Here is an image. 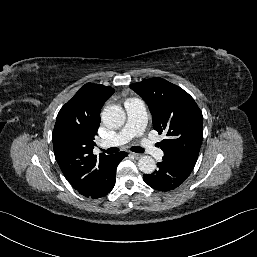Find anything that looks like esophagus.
Returning a JSON list of instances; mask_svg holds the SVG:
<instances>
[{
	"label": "esophagus",
	"instance_id": "1",
	"mask_svg": "<svg viewBox=\"0 0 257 257\" xmlns=\"http://www.w3.org/2000/svg\"><path fill=\"white\" fill-rule=\"evenodd\" d=\"M135 159H139L142 155L138 153L131 152L130 153Z\"/></svg>",
	"mask_w": 257,
	"mask_h": 257
}]
</instances>
